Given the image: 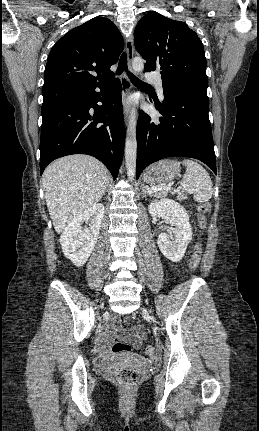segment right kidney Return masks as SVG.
Listing matches in <instances>:
<instances>
[{"label":"right kidney","instance_id":"obj_1","mask_svg":"<svg viewBox=\"0 0 259 431\" xmlns=\"http://www.w3.org/2000/svg\"><path fill=\"white\" fill-rule=\"evenodd\" d=\"M103 216V204H94L76 215L63 230L60 244L65 256L74 265L83 266L88 260L97 242ZM84 222L89 223L86 229L81 226Z\"/></svg>","mask_w":259,"mask_h":431}]
</instances>
